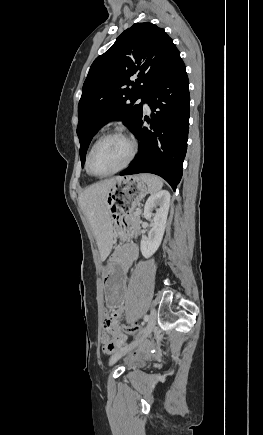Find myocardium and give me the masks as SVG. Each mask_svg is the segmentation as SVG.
Segmentation results:
<instances>
[{
	"instance_id": "f54148a6",
	"label": "myocardium",
	"mask_w": 263,
	"mask_h": 435,
	"mask_svg": "<svg viewBox=\"0 0 263 435\" xmlns=\"http://www.w3.org/2000/svg\"><path fill=\"white\" fill-rule=\"evenodd\" d=\"M110 137H119V138L126 140L130 145L129 156H128L127 160L124 162V164L122 166H120L119 168H117L113 171L107 172V173H97L91 167V156H92L93 151L96 148V146L100 142H102L103 140L110 138ZM137 151H138V146H137L135 139L132 136L128 135L127 133H125L123 131H119V130H112V131L106 132L103 135H101L91 146V148L87 154V158H86V169L90 175L95 176V177H107L110 175L117 174V173L123 171L124 169H126L132 163V161L134 160V158L137 154Z\"/></svg>"
}]
</instances>
